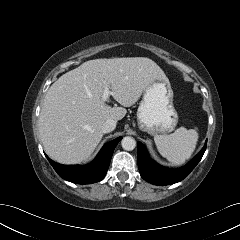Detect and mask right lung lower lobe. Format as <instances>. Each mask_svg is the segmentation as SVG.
<instances>
[{
  "label": "right lung lower lobe",
  "instance_id": "right-lung-lower-lobe-1",
  "mask_svg": "<svg viewBox=\"0 0 240 240\" xmlns=\"http://www.w3.org/2000/svg\"><path fill=\"white\" fill-rule=\"evenodd\" d=\"M122 137L106 143L97 157L87 165H61L50 158L47 159L58 175L77 184H91L102 180L108 170L113 151Z\"/></svg>",
  "mask_w": 240,
  "mask_h": 240
}]
</instances>
